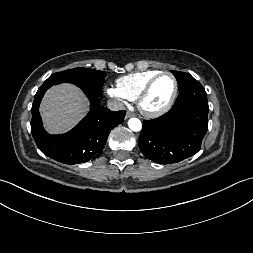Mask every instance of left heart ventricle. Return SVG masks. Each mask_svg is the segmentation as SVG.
Listing matches in <instances>:
<instances>
[{
    "instance_id": "left-heart-ventricle-1",
    "label": "left heart ventricle",
    "mask_w": 253,
    "mask_h": 253,
    "mask_svg": "<svg viewBox=\"0 0 253 253\" xmlns=\"http://www.w3.org/2000/svg\"><path fill=\"white\" fill-rule=\"evenodd\" d=\"M174 88L173 79L168 76L160 77L152 86L151 91L145 99L144 105L150 110L163 107L169 100Z\"/></svg>"
}]
</instances>
